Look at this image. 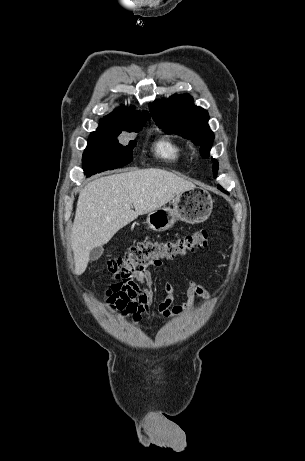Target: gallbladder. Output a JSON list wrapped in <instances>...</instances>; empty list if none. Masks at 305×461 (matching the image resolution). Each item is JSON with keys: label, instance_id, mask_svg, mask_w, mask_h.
Here are the masks:
<instances>
[{"label": "gallbladder", "instance_id": "1", "mask_svg": "<svg viewBox=\"0 0 305 461\" xmlns=\"http://www.w3.org/2000/svg\"><path fill=\"white\" fill-rule=\"evenodd\" d=\"M102 254H103V248L101 246L96 247L91 250L89 258L91 261H95V260H98Z\"/></svg>", "mask_w": 305, "mask_h": 461}]
</instances>
